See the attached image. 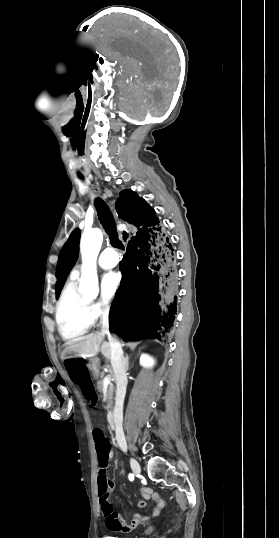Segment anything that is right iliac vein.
<instances>
[{"label":"right iliac vein","mask_w":279,"mask_h":538,"mask_svg":"<svg viewBox=\"0 0 279 538\" xmlns=\"http://www.w3.org/2000/svg\"><path fill=\"white\" fill-rule=\"evenodd\" d=\"M130 465H131L133 473L135 475H139L140 472H141V468H140L139 463L135 459L130 458Z\"/></svg>","instance_id":"1"}]
</instances>
